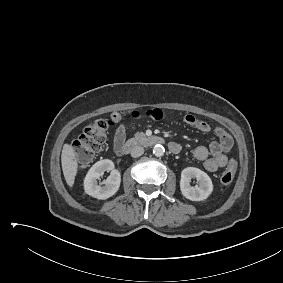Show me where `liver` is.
<instances>
[{
  "mask_svg": "<svg viewBox=\"0 0 283 283\" xmlns=\"http://www.w3.org/2000/svg\"><path fill=\"white\" fill-rule=\"evenodd\" d=\"M75 151L72 145L64 144L61 154V164L66 183L72 187L78 171V162L75 160Z\"/></svg>",
  "mask_w": 283,
  "mask_h": 283,
  "instance_id": "6515ba94",
  "label": "liver"
}]
</instances>
